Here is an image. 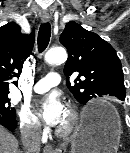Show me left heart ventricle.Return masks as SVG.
<instances>
[{
  "mask_svg": "<svg viewBox=\"0 0 130 153\" xmlns=\"http://www.w3.org/2000/svg\"><path fill=\"white\" fill-rule=\"evenodd\" d=\"M66 121H67V113H66V110H65L63 118H62L61 122L58 124V126L64 125L66 123Z\"/></svg>",
  "mask_w": 130,
  "mask_h": 153,
  "instance_id": "b2bd125f",
  "label": "left heart ventricle"
}]
</instances>
